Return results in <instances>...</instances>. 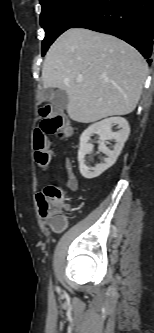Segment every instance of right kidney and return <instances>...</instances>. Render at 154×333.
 I'll use <instances>...</instances> for the list:
<instances>
[{"instance_id":"right-kidney-1","label":"right kidney","mask_w":154,"mask_h":333,"mask_svg":"<svg viewBox=\"0 0 154 333\" xmlns=\"http://www.w3.org/2000/svg\"><path fill=\"white\" fill-rule=\"evenodd\" d=\"M117 125V132L112 131V127ZM97 134L101 140V152L106 155L102 163L89 167L85 163V156L93 150V145L89 143L90 137ZM130 134V127L126 119L122 117H110L89 126L80 136V146L78 150V162L81 175L87 179H93L101 175L110 168L120 155L124 143ZM107 140H115L113 150L106 147Z\"/></svg>"}]
</instances>
